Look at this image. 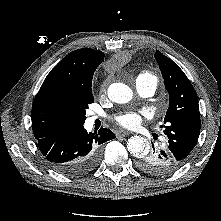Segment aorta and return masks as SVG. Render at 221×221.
Returning <instances> with one entry per match:
<instances>
[{"label": "aorta", "instance_id": "762f6f07", "mask_svg": "<svg viewBox=\"0 0 221 221\" xmlns=\"http://www.w3.org/2000/svg\"><path fill=\"white\" fill-rule=\"evenodd\" d=\"M108 97L115 103H128L132 97L133 92L131 88L123 83H112L108 87ZM127 150L136 158H142L149 152V147L146 140L141 136H132L127 141Z\"/></svg>", "mask_w": 221, "mask_h": 221}]
</instances>
